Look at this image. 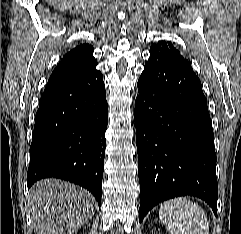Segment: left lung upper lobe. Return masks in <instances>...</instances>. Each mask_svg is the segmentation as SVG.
<instances>
[{
  "mask_svg": "<svg viewBox=\"0 0 241 234\" xmlns=\"http://www.w3.org/2000/svg\"><path fill=\"white\" fill-rule=\"evenodd\" d=\"M151 47L158 48V49H166V50L171 51L175 55L182 57L180 55V53L173 47V45L170 42L166 43L165 41H159L158 45H152Z\"/></svg>",
  "mask_w": 241,
  "mask_h": 234,
  "instance_id": "obj_1",
  "label": "left lung upper lobe"
}]
</instances>
